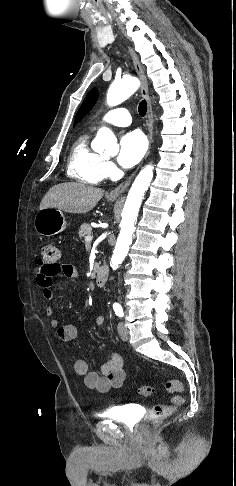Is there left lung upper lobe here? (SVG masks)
Returning <instances> with one entry per match:
<instances>
[{
	"mask_svg": "<svg viewBox=\"0 0 236 486\" xmlns=\"http://www.w3.org/2000/svg\"><path fill=\"white\" fill-rule=\"evenodd\" d=\"M98 98L97 89H92L84 99L81 107L77 112V116L74 122V126L92 109Z\"/></svg>",
	"mask_w": 236,
	"mask_h": 486,
	"instance_id": "obj_1",
	"label": "left lung upper lobe"
}]
</instances>
